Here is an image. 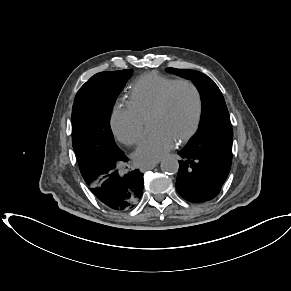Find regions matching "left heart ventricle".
<instances>
[{
  "mask_svg": "<svg viewBox=\"0 0 291 291\" xmlns=\"http://www.w3.org/2000/svg\"><path fill=\"white\" fill-rule=\"evenodd\" d=\"M195 110L193 92L186 86H179L172 93L167 112L150 119L151 129L154 132H167L177 140L192 126Z\"/></svg>",
  "mask_w": 291,
  "mask_h": 291,
  "instance_id": "b2bd125f",
  "label": "left heart ventricle"
}]
</instances>
